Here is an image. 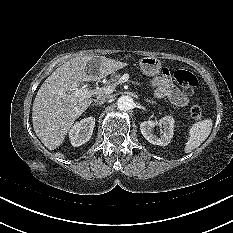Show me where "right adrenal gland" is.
<instances>
[{"mask_svg":"<svg viewBox=\"0 0 233 233\" xmlns=\"http://www.w3.org/2000/svg\"><path fill=\"white\" fill-rule=\"evenodd\" d=\"M92 106H97V104H92Z\"/></svg>","mask_w":233,"mask_h":233,"instance_id":"right-adrenal-gland-1","label":"right adrenal gland"}]
</instances>
